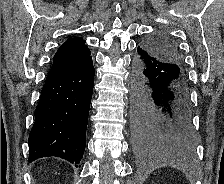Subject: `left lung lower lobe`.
Instances as JSON below:
<instances>
[{
    "label": "left lung lower lobe",
    "instance_id": "1",
    "mask_svg": "<svg viewBox=\"0 0 224 184\" xmlns=\"http://www.w3.org/2000/svg\"><path fill=\"white\" fill-rule=\"evenodd\" d=\"M133 140L145 154L194 149L189 90L184 70L137 49L132 73Z\"/></svg>",
    "mask_w": 224,
    "mask_h": 184
}]
</instances>
